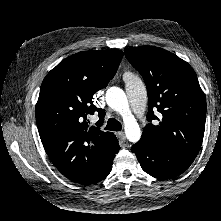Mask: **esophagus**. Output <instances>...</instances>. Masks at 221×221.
<instances>
[{"label":"esophagus","mask_w":221,"mask_h":221,"mask_svg":"<svg viewBox=\"0 0 221 221\" xmlns=\"http://www.w3.org/2000/svg\"><path fill=\"white\" fill-rule=\"evenodd\" d=\"M117 137L120 139V140H125L126 139V136H125V133L124 132H117Z\"/></svg>","instance_id":"obj_1"}]
</instances>
